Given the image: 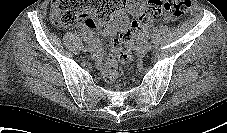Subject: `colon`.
I'll list each match as a JSON object with an SVG mask.
<instances>
[{
    "label": "colon",
    "mask_w": 227,
    "mask_h": 133,
    "mask_svg": "<svg viewBox=\"0 0 227 133\" xmlns=\"http://www.w3.org/2000/svg\"><path fill=\"white\" fill-rule=\"evenodd\" d=\"M130 0H53L51 4L52 23L59 28L73 24L93 28L95 22H104L111 13L126 5ZM137 19L133 21L130 31L113 40L112 52L122 62L132 59L133 41L140 32L160 20L163 15L180 17L191 7L190 0H148L145 5L132 3ZM91 14L92 16H90ZM104 79L118 85L122 74L121 67L115 59H110L104 67Z\"/></svg>",
    "instance_id": "5ec220e1"
}]
</instances>
